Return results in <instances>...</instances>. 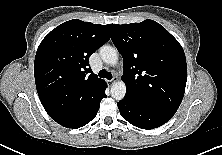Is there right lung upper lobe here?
<instances>
[{
    "mask_svg": "<svg viewBox=\"0 0 222 155\" xmlns=\"http://www.w3.org/2000/svg\"><path fill=\"white\" fill-rule=\"evenodd\" d=\"M110 39L108 25L73 19L40 43L34 62L41 103L54 120L93 100L106 85L89 67V57Z\"/></svg>",
    "mask_w": 222,
    "mask_h": 155,
    "instance_id": "1",
    "label": "right lung upper lobe"
}]
</instances>
